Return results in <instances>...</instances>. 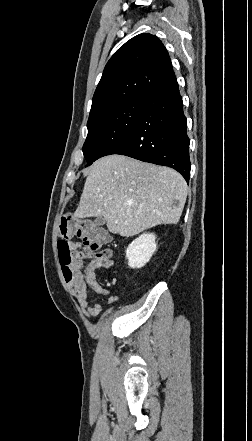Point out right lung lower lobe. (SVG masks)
<instances>
[{"mask_svg":"<svg viewBox=\"0 0 252 441\" xmlns=\"http://www.w3.org/2000/svg\"><path fill=\"white\" fill-rule=\"evenodd\" d=\"M143 100V112L133 129L106 155H126L168 166L181 173L188 182L190 140L176 77L147 94Z\"/></svg>","mask_w":252,"mask_h":441,"instance_id":"1","label":"right lung lower lobe"}]
</instances>
